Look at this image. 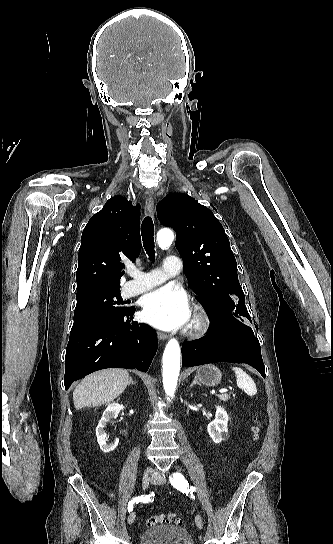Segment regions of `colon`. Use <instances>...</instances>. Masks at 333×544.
I'll return each mask as SVG.
<instances>
[{
  "label": "colon",
  "instance_id": "colon-1",
  "mask_svg": "<svg viewBox=\"0 0 333 544\" xmlns=\"http://www.w3.org/2000/svg\"><path fill=\"white\" fill-rule=\"evenodd\" d=\"M254 422H255V425L252 429V436L254 439H258L259 437V434H260V424H259V421L257 418H254ZM164 523H174V524H180L181 521L180 519L173 513L171 514H168V515H154V516H150L146 519V525L148 527H154V526H157V525H160V524H164Z\"/></svg>",
  "mask_w": 333,
  "mask_h": 544
}]
</instances>
